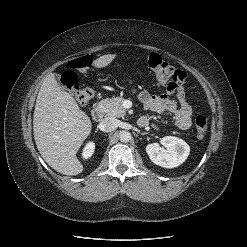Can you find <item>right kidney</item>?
<instances>
[{"mask_svg":"<svg viewBox=\"0 0 247 247\" xmlns=\"http://www.w3.org/2000/svg\"><path fill=\"white\" fill-rule=\"evenodd\" d=\"M95 144L93 142H88L83 149L82 156L84 159H88L94 153Z\"/></svg>","mask_w":247,"mask_h":247,"instance_id":"1","label":"right kidney"}]
</instances>
